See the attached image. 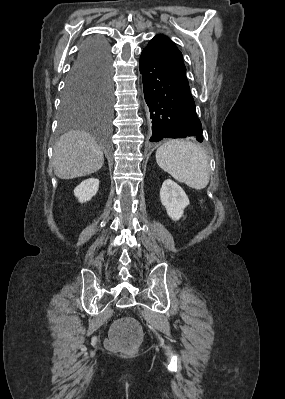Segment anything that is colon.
Instances as JSON below:
<instances>
[{
	"mask_svg": "<svg viewBox=\"0 0 285 399\" xmlns=\"http://www.w3.org/2000/svg\"><path fill=\"white\" fill-rule=\"evenodd\" d=\"M140 325L133 320H121L111 329L107 346L113 351L134 352L143 339Z\"/></svg>",
	"mask_w": 285,
	"mask_h": 399,
	"instance_id": "5ec220e1",
	"label": "colon"
}]
</instances>
